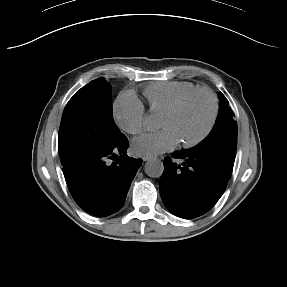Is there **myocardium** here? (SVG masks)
I'll list each match as a JSON object with an SVG mask.
<instances>
[{
	"mask_svg": "<svg viewBox=\"0 0 287 287\" xmlns=\"http://www.w3.org/2000/svg\"><path fill=\"white\" fill-rule=\"evenodd\" d=\"M198 94H204L208 97L210 103H211V114L208 121V124L206 128L203 130V132L195 137L194 139L188 140V141H181V145L184 148H192L203 142L211 133V131L214 128V125L216 123V119L218 116V102L217 98L214 95V93L207 89V88H195L185 95H183L181 98H179L169 109H167L163 115L166 116H172L176 114L191 98H193L195 95Z\"/></svg>",
	"mask_w": 287,
	"mask_h": 287,
	"instance_id": "f54148a6",
	"label": "myocardium"
}]
</instances>
